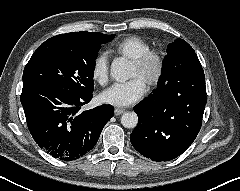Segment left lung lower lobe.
I'll return each mask as SVG.
<instances>
[{
    "label": "left lung lower lobe",
    "instance_id": "left-lung-lower-lobe-1",
    "mask_svg": "<svg viewBox=\"0 0 240 191\" xmlns=\"http://www.w3.org/2000/svg\"><path fill=\"white\" fill-rule=\"evenodd\" d=\"M204 71L184 72L134 107L133 147L153 161L181 155L198 135L206 105Z\"/></svg>",
    "mask_w": 240,
    "mask_h": 191
}]
</instances>
